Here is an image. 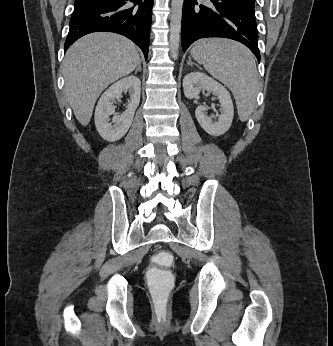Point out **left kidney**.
I'll return each mask as SVG.
<instances>
[{"label": "left kidney", "mask_w": 333, "mask_h": 346, "mask_svg": "<svg viewBox=\"0 0 333 346\" xmlns=\"http://www.w3.org/2000/svg\"><path fill=\"white\" fill-rule=\"evenodd\" d=\"M184 94L188 99H193L199 95L201 90L212 92L219 99L221 104V115L218 121H212L206 115V108L198 106L195 116L201 127L212 136H221L228 131L234 116L233 102L229 91L213 78L201 72H191L183 79Z\"/></svg>", "instance_id": "1"}]
</instances>
